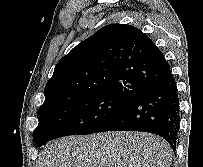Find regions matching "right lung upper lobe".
<instances>
[{
	"mask_svg": "<svg viewBox=\"0 0 203 167\" xmlns=\"http://www.w3.org/2000/svg\"><path fill=\"white\" fill-rule=\"evenodd\" d=\"M171 74L163 53L138 28L110 24L57 63L38 111L98 93L132 100Z\"/></svg>",
	"mask_w": 203,
	"mask_h": 167,
	"instance_id": "cb5924a9",
	"label": "right lung upper lobe"
}]
</instances>
